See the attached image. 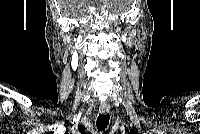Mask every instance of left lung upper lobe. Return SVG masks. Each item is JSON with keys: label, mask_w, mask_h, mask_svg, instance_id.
<instances>
[{"label": "left lung upper lobe", "mask_w": 200, "mask_h": 134, "mask_svg": "<svg viewBox=\"0 0 200 134\" xmlns=\"http://www.w3.org/2000/svg\"><path fill=\"white\" fill-rule=\"evenodd\" d=\"M134 133L137 134V132H132V134H134Z\"/></svg>", "instance_id": "obj_1"}]
</instances>
